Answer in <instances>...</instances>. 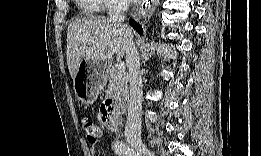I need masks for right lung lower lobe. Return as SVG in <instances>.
Returning a JSON list of instances; mask_svg holds the SVG:
<instances>
[{
  "mask_svg": "<svg viewBox=\"0 0 261 156\" xmlns=\"http://www.w3.org/2000/svg\"><path fill=\"white\" fill-rule=\"evenodd\" d=\"M130 24L139 34H142V27L140 24L136 23L134 20H130Z\"/></svg>",
  "mask_w": 261,
  "mask_h": 156,
  "instance_id": "98d812e1",
  "label": "right lung lower lobe"
}]
</instances>
